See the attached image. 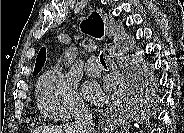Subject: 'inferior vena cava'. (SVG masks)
I'll return each mask as SVG.
<instances>
[{
	"label": "inferior vena cava",
	"mask_w": 184,
	"mask_h": 133,
	"mask_svg": "<svg viewBox=\"0 0 184 133\" xmlns=\"http://www.w3.org/2000/svg\"><path fill=\"white\" fill-rule=\"evenodd\" d=\"M76 133H92L93 121L90 111L84 106H80L75 111Z\"/></svg>",
	"instance_id": "1"
}]
</instances>
